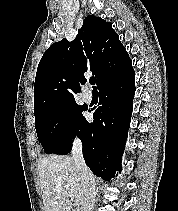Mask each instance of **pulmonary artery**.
Segmentation results:
<instances>
[{
  "mask_svg": "<svg viewBox=\"0 0 178 211\" xmlns=\"http://www.w3.org/2000/svg\"><path fill=\"white\" fill-rule=\"evenodd\" d=\"M83 97L85 101L90 102L92 100V92L88 88H86L83 92Z\"/></svg>",
  "mask_w": 178,
  "mask_h": 211,
  "instance_id": "1",
  "label": "pulmonary artery"
}]
</instances>
